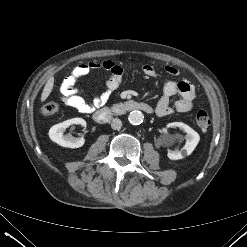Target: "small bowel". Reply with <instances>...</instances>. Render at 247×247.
Segmentation results:
<instances>
[{"instance_id": "1", "label": "small bowel", "mask_w": 247, "mask_h": 247, "mask_svg": "<svg viewBox=\"0 0 247 247\" xmlns=\"http://www.w3.org/2000/svg\"><path fill=\"white\" fill-rule=\"evenodd\" d=\"M97 69L107 70L110 73V76L106 81L105 90L101 94L95 95L92 100L88 102L76 84L92 70ZM165 71L171 76H177L179 73L177 68L171 65H166ZM142 72L150 78L158 77L156 69L151 64L143 65ZM122 80L123 69L115 62L111 60L102 62L90 61L87 63H81L73 68V70L64 79L59 94L61 100L67 106L82 113H90L95 108L101 107L108 101L111 94L121 86ZM173 95H178L180 98L171 105L170 98ZM195 98V88L189 81H167L162 86V95L155 106V113L160 117H164L174 112H189L193 109Z\"/></svg>"}]
</instances>
